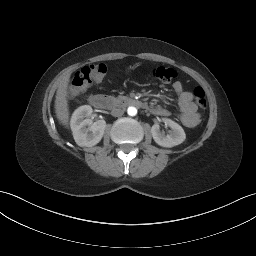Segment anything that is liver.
Returning <instances> with one entry per match:
<instances>
[{
	"mask_svg": "<svg viewBox=\"0 0 256 256\" xmlns=\"http://www.w3.org/2000/svg\"><path fill=\"white\" fill-rule=\"evenodd\" d=\"M71 73H67L60 80L55 99V113L58 121L68 126L69 123V107H68V85Z\"/></svg>",
	"mask_w": 256,
	"mask_h": 256,
	"instance_id": "obj_1",
	"label": "liver"
}]
</instances>
